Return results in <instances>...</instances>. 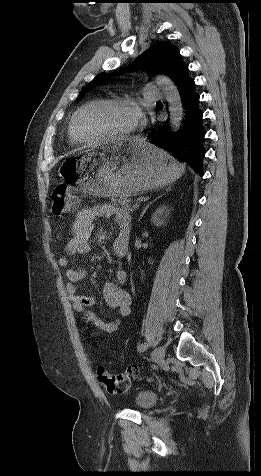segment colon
Wrapping results in <instances>:
<instances>
[{
	"label": "colon",
	"instance_id": "colon-1",
	"mask_svg": "<svg viewBox=\"0 0 261 476\" xmlns=\"http://www.w3.org/2000/svg\"><path fill=\"white\" fill-rule=\"evenodd\" d=\"M51 202V211L55 216H63L77 207V200L66 184L55 186L51 194ZM137 374L138 368L134 364L129 365L121 374H113L103 366H99L96 371L99 383L111 394L127 392Z\"/></svg>",
	"mask_w": 261,
	"mask_h": 476
}]
</instances>
